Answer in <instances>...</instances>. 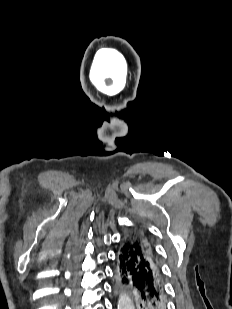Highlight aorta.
Masks as SVG:
<instances>
[{
	"instance_id": "aorta-1",
	"label": "aorta",
	"mask_w": 232,
	"mask_h": 309,
	"mask_svg": "<svg viewBox=\"0 0 232 309\" xmlns=\"http://www.w3.org/2000/svg\"><path fill=\"white\" fill-rule=\"evenodd\" d=\"M118 309H135L134 303L127 294H121L118 301Z\"/></svg>"
}]
</instances>
